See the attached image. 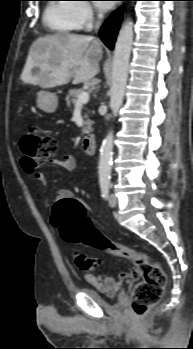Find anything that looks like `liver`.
I'll return each mask as SVG.
<instances>
[{
  "label": "liver",
  "mask_w": 193,
  "mask_h": 349,
  "mask_svg": "<svg viewBox=\"0 0 193 349\" xmlns=\"http://www.w3.org/2000/svg\"><path fill=\"white\" fill-rule=\"evenodd\" d=\"M101 43L86 35L57 33L37 38L21 74L25 84L53 88L87 82L100 70Z\"/></svg>",
  "instance_id": "1"
}]
</instances>
